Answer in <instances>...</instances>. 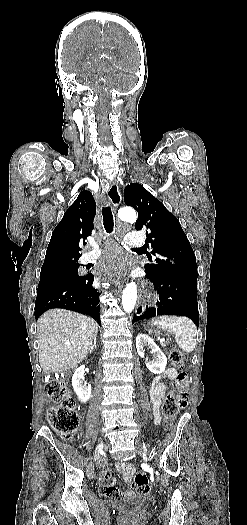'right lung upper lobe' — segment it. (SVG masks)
<instances>
[{
    "mask_svg": "<svg viewBox=\"0 0 247 525\" xmlns=\"http://www.w3.org/2000/svg\"><path fill=\"white\" fill-rule=\"evenodd\" d=\"M95 212L96 204L91 192L83 190L54 229L41 270L79 259L81 239L91 234Z\"/></svg>",
    "mask_w": 247,
    "mask_h": 525,
    "instance_id": "obj_1",
    "label": "right lung upper lobe"
}]
</instances>
